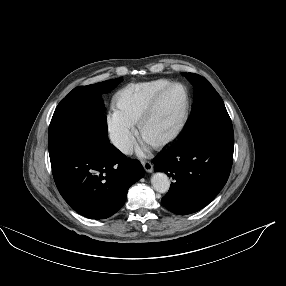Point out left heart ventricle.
<instances>
[{
  "instance_id": "left-heart-ventricle-1",
  "label": "left heart ventricle",
  "mask_w": 286,
  "mask_h": 286,
  "mask_svg": "<svg viewBox=\"0 0 286 286\" xmlns=\"http://www.w3.org/2000/svg\"><path fill=\"white\" fill-rule=\"evenodd\" d=\"M184 107L181 88L168 91L158 103L152 117L144 127V139L154 143L168 135L179 122Z\"/></svg>"
}]
</instances>
